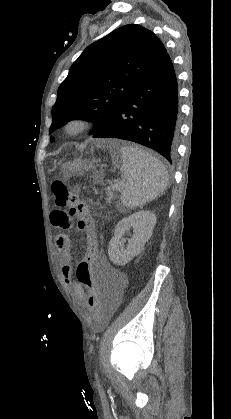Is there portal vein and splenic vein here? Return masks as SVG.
<instances>
[{
    "instance_id": "portal-vein-and-splenic-vein-1",
    "label": "portal vein and splenic vein",
    "mask_w": 231,
    "mask_h": 419,
    "mask_svg": "<svg viewBox=\"0 0 231 419\" xmlns=\"http://www.w3.org/2000/svg\"><path fill=\"white\" fill-rule=\"evenodd\" d=\"M120 185H121V184H113V185H111V188H112L113 190H119V189H120Z\"/></svg>"
}]
</instances>
